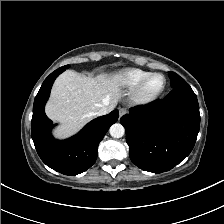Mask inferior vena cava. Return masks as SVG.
Wrapping results in <instances>:
<instances>
[{"instance_id": "inferior-vena-cava-1", "label": "inferior vena cava", "mask_w": 224, "mask_h": 224, "mask_svg": "<svg viewBox=\"0 0 224 224\" xmlns=\"http://www.w3.org/2000/svg\"><path fill=\"white\" fill-rule=\"evenodd\" d=\"M109 112H110V109L108 107H102L97 111L96 115L102 116V115L108 114Z\"/></svg>"}]
</instances>
